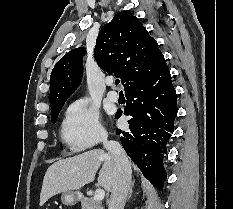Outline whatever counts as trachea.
Here are the masks:
<instances>
[{
  "label": "trachea",
  "instance_id": "trachea-1",
  "mask_svg": "<svg viewBox=\"0 0 233 209\" xmlns=\"http://www.w3.org/2000/svg\"><path fill=\"white\" fill-rule=\"evenodd\" d=\"M120 83V80L119 79H116L115 80V84L118 85Z\"/></svg>",
  "mask_w": 233,
  "mask_h": 209
}]
</instances>
